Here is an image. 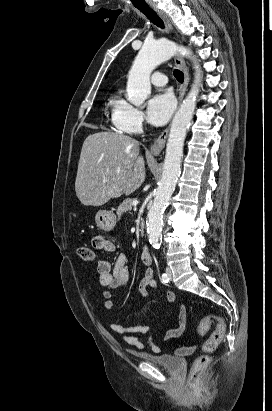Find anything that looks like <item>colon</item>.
<instances>
[{
    "instance_id": "colon-1",
    "label": "colon",
    "mask_w": 272,
    "mask_h": 411,
    "mask_svg": "<svg viewBox=\"0 0 272 411\" xmlns=\"http://www.w3.org/2000/svg\"><path fill=\"white\" fill-rule=\"evenodd\" d=\"M79 257L84 261H92L94 259V252L88 246H80L77 249ZM213 321H216V328L212 332L208 340L202 346V353L195 359L190 375L189 383L192 387H199L201 385V376L210 363V353H212L218 345L224 340L226 335L225 321L214 315H207L202 318L198 326V332L204 335L208 332Z\"/></svg>"
}]
</instances>
